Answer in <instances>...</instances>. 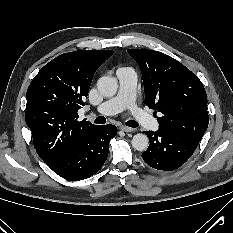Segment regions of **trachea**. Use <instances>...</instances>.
Here are the masks:
<instances>
[{"label":"trachea","mask_w":233,"mask_h":233,"mask_svg":"<svg viewBox=\"0 0 233 233\" xmlns=\"http://www.w3.org/2000/svg\"><path fill=\"white\" fill-rule=\"evenodd\" d=\"M105 122H106V119L103 116H99L95 119L96 124H104ZM126 125L132 128L138 127V123L134 120L127 121Z\"/></svg>","instance_id":"1"}]
</instances>
